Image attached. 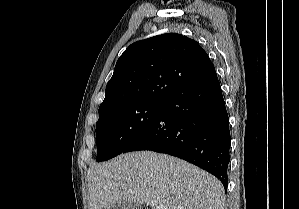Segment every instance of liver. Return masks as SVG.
I'll use <instances>...</instances> for the list:
<instances>
[{
    "instance_id": "obj_1",
    "label": "liver",
    "mask_w": 299,
    "mask_h": 209,
    "mask_svg": "<svg viewBox=\"0 0 299 209\" xmlns=\"http://www.w3.org/2000/svg\"><path fill=\"white\" fill-rule=\"evenodd\" d=\"M89 209H103L121 200L156 202L153 209H223L221 182L179 158L151 151L122 154L93 164L87 175Z\"/></svg>"
}]
</instances>
